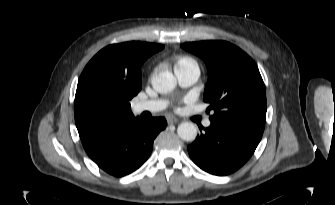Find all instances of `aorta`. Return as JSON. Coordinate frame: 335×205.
Wrapping results in <instances>:
<instances>
[{"instance_id":"obj_1","label":"aorta","mask_w":335,"mask_h":205,"mask_svg":"<svg viewBox=\"0 0 335 205\" xmlns=\"http://www.w3.org/2000/svg\"><path fill=\"white\" fill-rule=\"evenodd\" d=\"M176 84V77L169 71H163L152 79L154 90L162 94L172 91ZM177 133L182 140L193 141L197 136V128L191 122H183L178 126Z\"/></svg>"}]
</instances>
